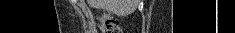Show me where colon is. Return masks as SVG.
I'll return each instance as SVG.
<instances>
[{
  "label": "colon",
  "instance_id": "5ec220e1",
  "mask_svg": "<svg viewBox=\"0 0 235 33\" xmlns=\"http://www.w3.org/2000/svg\"><path fill=\"white\" fill-rule=\"evenodd\" d=\"M100 29L103 33H121L117 19L109 14L101 17Z\"/></svg>",
  "mask_w": 235,
  "mask_h": 33
}]
</instances>
